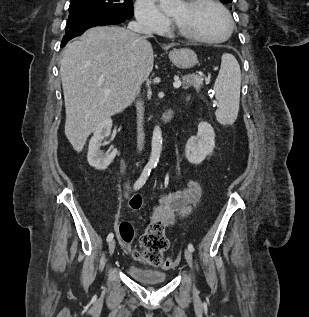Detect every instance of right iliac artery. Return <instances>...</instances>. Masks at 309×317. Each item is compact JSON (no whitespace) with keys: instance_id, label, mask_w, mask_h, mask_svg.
<instances>
[{"instance_id":"82829eb1","label":"right iliac artery","mask_w":309,"mask_h":317,"mask_svg":"<svg viewBox=\"0 0 309 317\" xmlns=\"http://www.w3.org/2000/svg\"><path fill=\"white\" fill-rule=\"evenodd\" d=\"M151 168L152 166L151 165H146L143 172L141 173L140 177L138 178V180L135 182L134 184V189H140L144 184L145 182L147 181L148 179V176L151 172ZM114 237V234L113 233H109L108 236H107V242H110Z\"/></svg>"}]
</instances>
